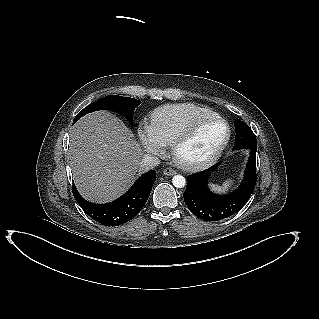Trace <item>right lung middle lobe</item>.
I'll return each instance as SVG.
<instances>
[{"mask_svg":"<svg viewBox=\"0 0 319 319\" xmlns=\"http://www.w3.org/2000/svg\"><path fill=\"white\" fill-rule=\"evenodd\" d=\"M139 104L140 101L137 99L117 95H108L81 110L75 117L74 122L87 113L102 109H109L124 115L132 124L133 111Z\"/></svg>","mask_w":319,"mask_h":319,"instance_id":"1","label":"right lung middle lobe"}]
</instances>
